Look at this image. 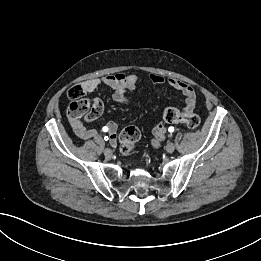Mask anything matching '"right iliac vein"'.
<instances>
[{
  "instance_id": "1",
  "label": "right iliac vein",
  "mask_w": 261,
  "mask_h": 261,
  "mask_svg": "<svg viewBox=\"0 0 261 261\" xmlns=\"http://www.w3.org/2000/svg\"><path fill=\"white\" fill-rule=\"evenodd\" d=\"M104 155H105L107 158H110V157L112 156V151H111V149L106 148V149L104 150Z\"/></svg>"
}]
</instances>
